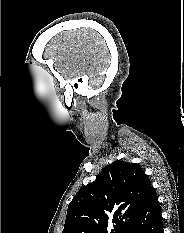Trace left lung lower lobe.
<instances>
[{"label":"left lung lower lobe","mask_w":184,"mask_h":233,"mask_svg":"<svg viewBox=\"0 0 184 233\" xmlns=\"http://www.w3.org/2000/svg\"><path fill=\"white\" fill-rule=\"evenodd\" d=\"M128 233H164L161 208L155 190L149 194Z\"/></svg>","instance_id":"1"}]
</instances>
